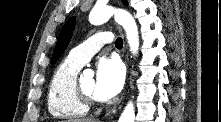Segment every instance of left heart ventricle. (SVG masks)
I'll return each mask as SVG.
<instances>
[{"mask_svg": "<svg viewBox=\"0 0 221 122\" xmlns=\"http://www.w3.org/2000/svg\"><path fill=\"white\" fill-rule=\"evenodd\" d=\"M81 86L84 89L86 93L89 95L94 96V86H95V80L93 78H84L81 80Z\"/></svg>", "mask_w": 221, "mask_h": 122, "instance_id": "left-heart-ventricle-1", "label": "left heart ventricle"}]
</instances>
